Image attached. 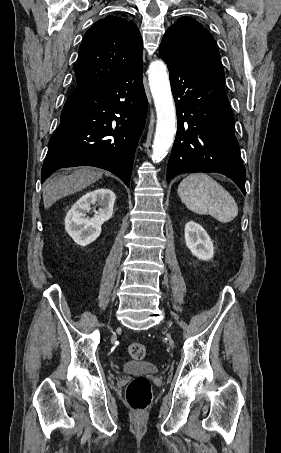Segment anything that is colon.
Here are the masks:
<instances>
[{
  "label": "colon",
  "mask_w": 281,
  "mask_h": 453,
  "mask_svg": "<svg viewBox=\"0 0 281 453\" xmlns=\"http://www.w3.org/2000/svg\"><path fill=\"white\" fill-rule=\"evenodd\" d=\"M131 359L141 362L146 356V347L142 344H135L130 347ZM125 398L130 411L134 413H144L148 410L151 403L150 382L146 377H134L128 384Z\"/></svg>",
  "instance_id": "5ec220e1"
}]
</instances>
